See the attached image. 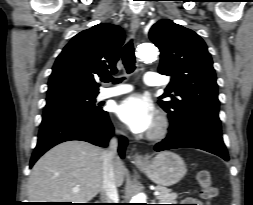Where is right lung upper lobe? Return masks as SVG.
Instances as JSON below:
<instances>
[{"label": "right lung upper lobe", "mask_w": 253, "mask_h": 205, "mask_svg": "<svg viewBox=\"0 0 253 205\" xmlns=\"http://www.w3.org/2000/svg\"><path fill=\"white\" fill-rule=\"evenodd\" d=\"M123 30L100 23L74 36L57 57L48 82L47 102L99 93L95 77L115 73Z\"/></svg>", "instance_id": "1"}]
</instances>
